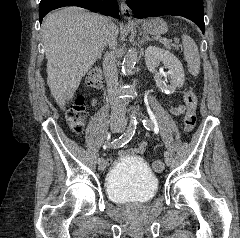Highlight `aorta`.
Returning a JSON list of instances; mask_svg holds the SVG:
<instances>
[{"label": "aorta", "mask_w": 240, "mask_h": 238, "mask_svg": "<svg viewBox=\"0 0 240 238\" xmlns=\"http://www.w3.org/2000/svg\"><path fill=\"white\" fill-rule=\"evenodd\" d=\"M137 59H138V53L136 51V48L130 47L127 50L122 62V74L124 76H126L128 73L132 71V69L136 64Z\"/></svg>", "instance_id": "762f6f07"}]
</instances>
